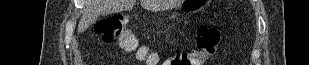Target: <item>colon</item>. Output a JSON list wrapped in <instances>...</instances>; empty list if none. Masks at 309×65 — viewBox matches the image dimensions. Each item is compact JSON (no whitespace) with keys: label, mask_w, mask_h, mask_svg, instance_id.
Returning <instances> with one entry per match:
<instances>
[{"label":"colon","mask_w":309,"mask_h":65,"mask_svg":"<svg viewBox=\"0 0 309 65\" xmlns=\"http://www.w3.org/2000/svg\"><path fill=\"white\" fill-rule=\"evenodd\" d=\"M129 17L114 14L100 19L95 24V33L106 44L118 41L125 51H133L140 60L150 65L159 63V56L149 53L146 47L139 45L136 37L128 30ZM221 33L218 27L201 25L196 32V47L190 51H178L168 58L163 65H202L212 56L219 45Z\"/></svg>","instance_id":"1"}]
</instances>
